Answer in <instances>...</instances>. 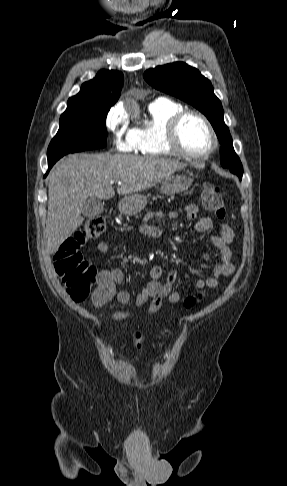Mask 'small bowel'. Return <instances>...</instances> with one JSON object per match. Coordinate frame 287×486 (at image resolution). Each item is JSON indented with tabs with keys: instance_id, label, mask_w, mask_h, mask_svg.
Instances as JSON below:
<instances>
[{
	"instance_id": "small-bowel-1",
	"label": "small bowel",
	"mask_w": 287,
	"mask_h": 486,
	"mask_svg": "<svg viewBox=\"0 0 287 486\" xmlns=\"http://www.w3.org/2000/svg\"><path fill=\"white\" fill-rule=\"evenodd\" d=\"M186 218L196 220L195 230L197 232L209 231L213 228V222L209 217L198 218V207L189 205L186 208ZM180 216L178 211H153L146 214L140 225L138 232L142 235L159 239L162 235L161 230L155 225L150 224L152 219H176ZM234 233L227 223L220 225V233L211 237L212 244L219 252V265L212 268V274L207 279H196L195 286L199 289L208 287L216 288L222 277L230 276L235 271L232 260L230 244ZM100 252L105 253L109 249L106 241H100L97 245ZM179 273L171 270L163 277V268L154 265L150 270L151 280L147 282L140 292L133 298L126 290H118L117 286L124 281V273L118 268H105L99 271L96 279L97 286L91 295V302L95 307H101L112 299L123 305L143 306L149 302V312L153 313L161 306L163 298H167L170 303H177L180 295L173 290V285ZM130 316L128 311H120L114 314L115 319H125Z\"/></svg>"
}]
</instances>
